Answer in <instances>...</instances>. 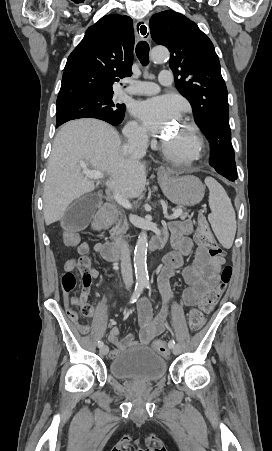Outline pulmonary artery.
Segmentation results:
<instances>
[{"label": "pulmonary artery", "mask_w": 272, "mask_h": 451, "mask_svg": "<svg viewBox=\"0 0 272 451\" xmlns=\"http://www.w3.org/2000/svg\"><path fill=\"white\" fill-rule=\"evenodd\" d=\"M158 80L163 85H170L172 83V75L171 71L169 69L164 70L161 72L158 76ZM138 88L135 86L133 87H127L126 92L131 95H152L156 94L159 91V87L157 84L152 82H147L146 80H138L134 83Z\"/></svg>", "instance_id": "1"}]
</instances>
